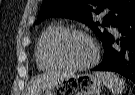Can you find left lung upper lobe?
Returning a JSON list of instances; mask_svg holds the SVG:
<instances>
[{"mask_svg":"<svg viewBox=\"0 0 135 95\" xmlns=\"http://www.w3.org/2000/svg\"><path fill=\"white\" fill-rule=\"evenodd\" d=\"M135 13V0H44L37 24L47 17H65L88 25L103 42L111 34L99 27H117ZM103 14V22L93 16Z\"/></svg>","mask_w":135,"mask_h":95,"instance_id":"obj_1","label":"left lung upper lobe"}]
</instances>
